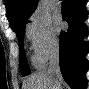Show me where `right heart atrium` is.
<instances>
[{
    "label": "right heart atrium",
    "instance_id": "right-heart-atrium-1",
    "mask_svg": "<svg viewBox=\"0 0 89 89\" xmlns=\"http://www.w3.org/2000/svg\"><path fill=\"white\" fill-rule=\"evenodd\" d=\"M26 36L38 63L45 64L58 50V37L50 18L41 13H34L27 26Z\"/></svg>",
    "mask_w": 89,
    "mask_h": 89
}]
</instances>
